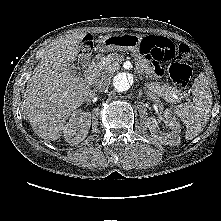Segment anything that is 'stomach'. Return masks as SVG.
<instances>
[{
	"mask_svg": "<svg viewBox=\"0 0 221 221\" xmlns=\"http://www.w3.org/2000/svg\"><path fill=\"white\" fill-rule=\"evenodd\" d=\"M143 40L144 37L142 35L134 33L108 34L104 37H101V39L99 40V48L102 52L130 51L135 53L139 51Z\"/></svg>",
	"mask_w": 221,
	"mask_h": 221,
	"instance_id": "obj_1",
	"label": "stomach"
}]
</instances>
